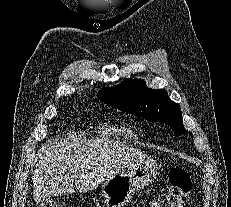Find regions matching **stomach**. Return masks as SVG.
Segmentation results:
<instances>
[{
    "label": "stomach",
    "mask_w": 231,
    "mask_h": 207,
    "mask_svg": "<svg viewBox=\"0 0 231 207\" xmlns=\"http://www.w3.org/2000/svg\"><path fill=\"white\" fill-rule=\"evenodd\" d=\"M158 166L151 158L139 161L112 175L103 182L102 197L107 207H124L133 195L148 186L156 177Z\"/></svg>",
    "instance_id": "0dacf381"
}]
</instances>
